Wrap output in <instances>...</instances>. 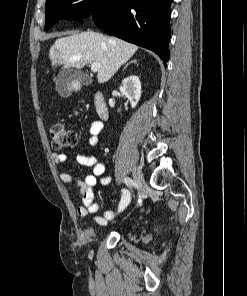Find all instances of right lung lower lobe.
<instances>
[{
  "mask_svg": "<svg viewBox=\"0 0 247 296\" xmlns=\"http://www.w3.org/2000/svg\"><path fill=\"white\" fill-rule=\"evenodd\" d=\"M172 0H111L104 12L92 14L107 34L154 51L166 67L169 59Z\"/></svg>",
  "mask_w": 247,
  "mask_h": 296,
  "instance_id": "right-lung-lower-lobe-1",
  "label": "right lung lower lobe"
}]
</instances>
